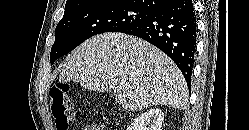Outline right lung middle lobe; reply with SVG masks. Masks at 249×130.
I'll use <instances>...</instances> for the list:
<instances>
[{"instance_id": "right-lung-middle-lobe-1", "label": "right lung middle lobe", "mask_w": 249, "mask_h": 130, "mask_svg": "<svg viewBox=\"0 0 249 130\" xmlns=\"http://www.w3.org/2000/svg\"><path fill=\"white\" fill-rule=\"evenodd\" d=\"M153 11L131 0H106L65 11L55 30L51 64L88 38L104 32H120L147 19Z\"/></svg>"}]
</instances>
